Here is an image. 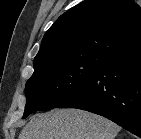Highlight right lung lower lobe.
<instances>
[{"label": "right lung lower lobe", "mask_w": 141, "mask_h": 139, "mask_svg": "<svg viewBox=\"0 0 141 139\" xmlns=\"http://www.w3.org/2000/svg\"><path fill=\"white\" fill-rule=\"evenodd\" d=\"M55 108L99 114L141 137V45L107 60L87 84Z\"/></svg>", "instance_id": "1"}]
</instances>
